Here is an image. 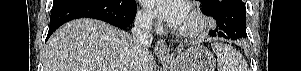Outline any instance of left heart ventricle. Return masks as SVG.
I'll return each mask as SVG.
<instances>
[{
  "label": "left heart ventricle",
  "instance_id": "1",
  "mask_svg": "<svg viewBox=\"0 0 301 71\" xmlns=\"http://www.w3.org/2000/svg\"><path fill=\"white\" fill-rule=\"evenodd\" d=\"M189 23H190V16H189V14H188V12H187L182 27L188 25Z\"/></svg>",
  "mask_w": 301,
  "mask_h": 71
}]
</instances>
